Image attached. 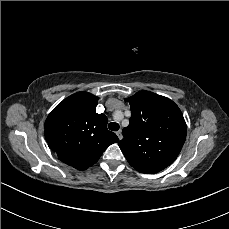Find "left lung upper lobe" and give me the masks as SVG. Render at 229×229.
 I'll return each instance as SVG.
<instances>
[{"label":"left lung upper lobe","instance_id":"1","mask_svg":"<svg viewBox=\"0 0 229 229\" xmlns=\"http://www.w3.org/2000/svg\"><path fill=\"white\" fill-rule=\"evenodd\" d=\"M125 100L131 106V118L118 143L122 153L141 173L165 169L177 158L186 139L181 110L172 100L149 91Z\"/></svg>","mask_w":229,"mask_h":229}]
</instances>
